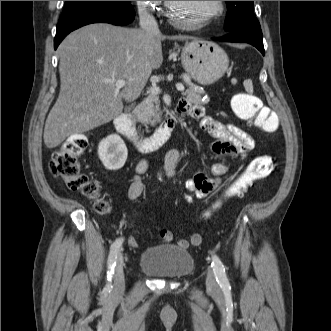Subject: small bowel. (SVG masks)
<instances>
[{"mask_svg": "<svg viewBox=\"0 0 331 331\" xmlns=\"http://www.w3.org/2000/svg\"><path fill=\"white\" fill-rule=\"evenodd\" d=\"M177 108L184 114H188L194 119L200 121V127L207 131L215 141L210 146V152L215 156L228 155L234 160L243 159L253 148L254 140L241 128L233 124H224L214 120L210 116H206L204 109L189 100H181ZM180 160V152L177 149H171L166 153L164 167L169 176L175 174L176 166ZM148 169V163L144 160L140 161L135 169V176L128 189V198L134 201L139 198L143 191V182L141 175ZM228 172V166L225 163H214L209 171L197 172L185 182V188L190 194H185L187 201H192L193 197L204 199L208 197L220 184V179ZM172 235L169 231H162L159 234V242L167 243L171 240ZM129 245L132 248L138 247V241L135 237H131ZM180 247H188L189 242L185 239H180L177 242Z\"/></svg>", "mask_w": 331, "mask_h": 331, "instance_id": "1", "label": "small bowel"}]
</instances>
